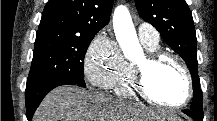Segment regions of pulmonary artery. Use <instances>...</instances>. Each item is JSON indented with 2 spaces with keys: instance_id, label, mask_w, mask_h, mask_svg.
<instances>
[{
  "instance_id": "pulmonary-artery-1",
  "label": "pulmonary artery",
  "mask_w": 217,
  "mask_h": 121,
  "mask_svg": "<svg viewBox=\"0 0 217 121\" xmlns=\"http://www.w3.org/2000/svg\"><path fill=\"white\" fill-rule=\"evenodd\" d=\"M138 36L139 39L151 45L159 43L160 37L158 31L149 23H140L138 25Z\"/></svg>"
}]
</instances>
